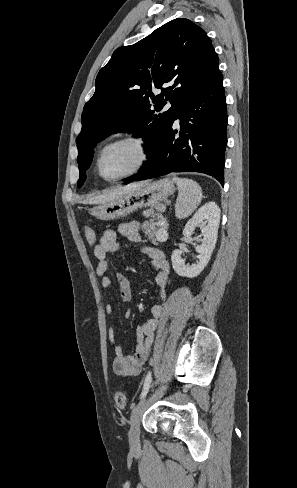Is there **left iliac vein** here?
<instances>
[{"mask_svg":"<svg viewBox=\"0 0 297 488\" xmlns=\"http://www.w3.org/2000/svg\"><path fill=\"white\" fill-rule=\"evenodd\" d=\"M147 400H142L132 411L130 418L129 443L132 451H137L140 447V422L146 407Z\"/></svg>","mask_w":297,"mask_h":488,"instance_id":"obj_1","label":"left iliac vein"}]
</instances>
